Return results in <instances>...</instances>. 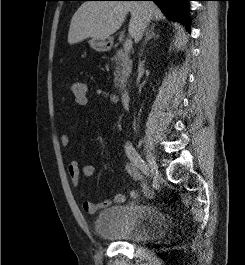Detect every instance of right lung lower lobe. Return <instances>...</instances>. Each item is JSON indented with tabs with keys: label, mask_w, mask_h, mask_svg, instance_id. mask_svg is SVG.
<instances>
[{
	"label": "right lung lower lobe",
	"mask_w": 245,
	"mask_h": 265,
	"mask_svg": "<svg viewBox=\"0 0 245 265\" xmlns=\"http://www.w3.org/2000/svg\"><path fill=\"white\" fill-rule=\"evenodd\" d=\"M119 1H154L171 20L180 22L189 29L188 2L191 0H119Z\"/></svg>",
	"instance_id": "98d812e1"
}]
</instances>
